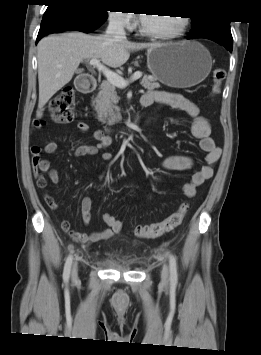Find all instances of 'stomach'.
Listing matches in <instances>:
<instances>
[{
    "instance_id": "1",
    "label": "stomach",
    "mask_w": 261,
    "mask_h": 355,
    "mask_svg": "<svg viewBox=\"0 0 261 355\" xmlns=\"http://www.w3.org/2000/svg\"><path fill=\"white\" fill-rule=\"evenodd\" d=\"M147 66L161 83L187 88L206 79L212 68V58L199 42L179 41L149 47Z\"/></svg>"
}]
</instances>
